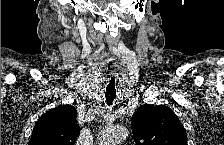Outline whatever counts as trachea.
<instances>
[{
    "mask_svg": "<svg viewBox=\"0 0 224 145\" xmlns=\"http://www.w3.org/2000/svg\"><path fill=\"white\" fill-rule=\"evenodd\" d=\"M108 81H107V86H106V92H105V97H106V102L108 105H111L113 100L116 98V89H115V78L111 74L112 68L108 66Z\"/></svg>",
    "mask_w": 224,
    "mask_h": 145,
    "instance_id": "obj_1",
    "label": "trachea"
}]
</instances>
